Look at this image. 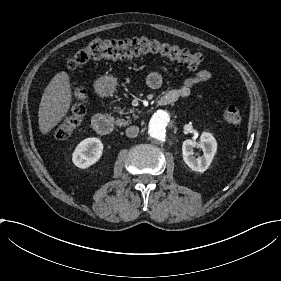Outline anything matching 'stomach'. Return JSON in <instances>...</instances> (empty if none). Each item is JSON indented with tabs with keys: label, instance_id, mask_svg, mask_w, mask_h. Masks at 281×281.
<instances>
[{
	"label": "stomach",
	"instance_id": "0dacf381",
	"mask_svg": "<svg viewBox=\"0 0 281 281\" xmlns=\"http://www.w3.org/2000/svg\"><path fill=\"white\" fill-rule=\"evenodd\" d=\"M98 82L100 85L99 93L111 94L115 89L116 80L110 75L102 76Z\"/></svg>",
	"mask_w": 281,
	"mask_h": 281
}]
</instances>
